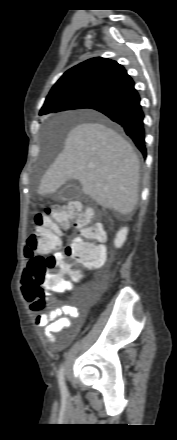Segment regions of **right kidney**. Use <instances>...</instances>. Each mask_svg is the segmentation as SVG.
<instances>
[{
	"instance_id": "1",
	"label": "right kidney",
	"mask_w": 177,
	"mask_h": 440,
	"mask_svg": "<svg viewBox=\"0 0 177 440\" xmlns=\"http://www.w3.org/2000/svg\"><path fill=\"white\" fill-rule=\"evenodd\" d=\"M127 234H128L127 227H124L118 231V233L116 234V238L114 240V245L116 248L122 247V245L126 241Z\"/></svg>"
}]
</instances>
